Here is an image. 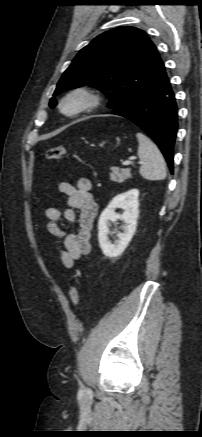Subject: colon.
I'll use <instances>...</instances> for the list:
<instances>
[{"instance_id":"obj_1","label":"colon","mask_w":202,"mask_h":437,"mask_svg":"<svg viewBox=\"0 0 202 437\" xmlns=\"http://www.w3.org/2000/svg\"><path fill=\"white\" fill-rule=\"evenodd\" d=\"M66 153L64 146H53L43 152V158L46 160H58ZM69 298L73 305H77L80 301V292L77 286H72L69 291Z\"/></svg>"}]
</instances>
